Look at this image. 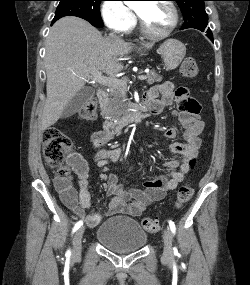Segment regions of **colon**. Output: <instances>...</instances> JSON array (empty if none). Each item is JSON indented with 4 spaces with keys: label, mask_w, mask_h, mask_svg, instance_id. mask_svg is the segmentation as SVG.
I'll return each instance as SVG.
<instances>
[{
    "label": "colon",
    "mask_w": 250,
    "mask_h": 285,
    "mask_svg": "<svg viewBox=\"0 0 250 285\" xmlns=\"http://www.w3.org/2000/svg\"><path fill=\"white\" fill-rule=\"evenodd\" d=\"M198 65L195 59L185 58L180 66V72L185 78H195L198 75ZM97 113V103L95 100H88L80 110V116L84 119H93ZM73 144L67 135L58 128H50L43 135V155L46 164L56 169L57 177L66 180L69 177V169L65 166V161L71 155ZM190 167L195 165V157L189 161ZM193 195V187L186 183L180 186L177 192L176 204L178 207L186 204ZM144 230L155 233L159 230L156 219L145 217L141 221Z\"/></svg>",
    "instance_id": "1"
}]
</instances>
